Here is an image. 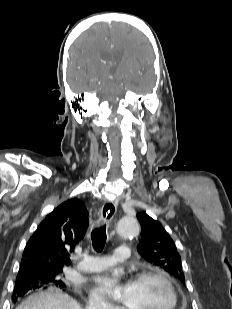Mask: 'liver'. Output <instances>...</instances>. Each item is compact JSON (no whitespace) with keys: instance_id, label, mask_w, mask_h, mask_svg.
Masks as SVG:
<instances>
[{"instance_id":"1","label":"liver","mask_w":232,"mask_h":309,"mask_svg":"<svg viewBox=\"0 0 232 309\" xmlns=\"http://www.w3.org/2000/svg\"><path fill=\"white\" fill-rule=\"evenodd\" d=\"M16 309H82L79 303L58 289L50 288L25 299Z\"/></svg>"}]
</instances>
